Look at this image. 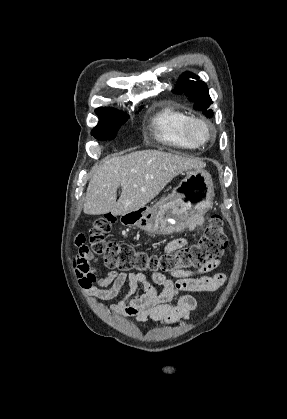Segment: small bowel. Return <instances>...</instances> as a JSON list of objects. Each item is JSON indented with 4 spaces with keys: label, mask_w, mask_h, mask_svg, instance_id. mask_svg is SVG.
I'll return each mask as SVG.
<instances>
[{
    "label": "small bowel",
    "mask_w": 287,
    "mask_h": 419,
    "mask_svg": "<svg viewBox=\"0 0 287 419\" xmlns=\"http://www.w3.org/2000/svg\"><path fill=\"white\" fill-rule=\"evenodd\" d=\"M186 243L185 239H175L167 244L165 252L172 253L185 246ZM76 244L78 250L73 258V265L80 286L95 301L96 299L114 298L127 284V292L122 300L110 306L104 303H98V306L125 317H134L139 323H145L148 320L161 324L184 322L196 308L197 301L192 295H183L177 302H172L173 298L179 292L214 291L226 279L223 273L213 276H196L195 273L186 270L172 272L173 279H169L161 273H152L147 276L143 273L131 272L127 274L115 271L102 276L89 249L80 246L79 243ZM219 264V259L212 260L197 274L212 271ZM139 284L143 286L144 293L140 297L132 298L137 292ZM155 285L163 286L162 291L157 292Z\"/></svg>",
    "instance_id": "obj_1"
}]
</instances>
